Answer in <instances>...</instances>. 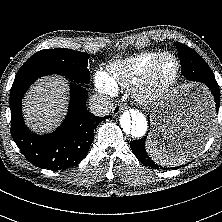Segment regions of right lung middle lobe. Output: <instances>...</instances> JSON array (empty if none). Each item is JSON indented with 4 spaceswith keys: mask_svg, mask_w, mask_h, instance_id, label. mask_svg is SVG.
I'll return each mask as SVG.
<instances>
[{
    "mask_svg": "<svg viewBox=\"0 0 222 222\" xmlns=\"http://www.w3.org/2000/svg\"><path fill=\"white\" fill-rule=\"evenodd\" d=\"M89 54L66 48L44 49L30 57L18 73L41 71L57 74L87 84L90 72L87 69Z\"/></svg>",
    "mask_w": 222,
    "mask_h": 222,
    "instance_id": "right-lung-middle-lobe-1",
    "label": "right lung middle lobe"
}]
</instances>
